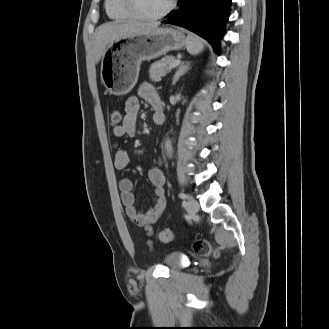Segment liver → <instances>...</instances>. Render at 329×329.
Instances as JSON below:
<instances>
[{
	"instance_id": "1",
	"label": "liver",
	"mask_w": 329,
	"mask_h": 329,
	"mask_svg": "<svg viewBox=\"0 0 329 329\" xmlns=\"http://www.w3.org/2000/svg\"><path fill=\"white\" fill-rule=\"evenodd\" d=\"M158 28L157 23L109 22L100 25L95 31L94 60L98 63L108 45L116 39L149 33Z\"/></svg>"
}]
</instances>
